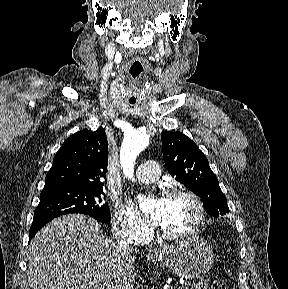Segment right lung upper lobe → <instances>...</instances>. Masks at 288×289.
I'll return each instance as SVG.
<instances>
[{
  "label": "right lung upper lobe",
  "instance_id": "1",
  "mask_svg": "<svg viewBox=\"0 0 288 289\" xmlns=\"http://www.w3.org/2000/svg\"><path fill=\"white\" fill-rule=\"evenodd\" d=\"M107 164L105 131H79L70 136L56 153L44 189L103 187L100 179L106 177Z\"/></svg>",
  "mask_w": 288,
  "mask_h": 289
}]
</instances>
